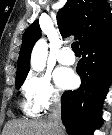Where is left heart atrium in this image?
Listing matches in <instances>:
<instances>
[{
    "instance_id": "left-heart-atrium-1",
    "label": "left heart atrium",
    "mask_w": 112,
    "mask_h": 135,
    "mask_svg": "<svg viewBox=\"0 0 112 135\" xmlns=\"http://www.w3.org/2000/svg\"><path fill=\"white\" fill-rule=\"evenodd\" d=\"M54 80L60 89H69L76 84V76L69 68L59 67L54 72Z\"/></svg>"
}]
</instances>
